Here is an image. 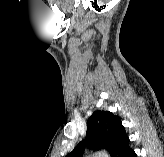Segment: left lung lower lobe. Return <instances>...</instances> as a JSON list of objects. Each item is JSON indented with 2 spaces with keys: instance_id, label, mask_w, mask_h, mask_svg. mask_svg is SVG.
<instances>
[{
  "instance_id": "1",
  "label": "left lung lower lobe",
  "mask_w": 164,
  "mask_h": 157,
  "mask_svg": "<svg viewBox=\"0 0 164 157\" xmlns=\"http://www.w3.org/2000/svg\"><path fill=\"white\" fill-rule=\"evenodd\" d=\"M111 157H137L136 153L129 146V138L116 147Z\"/></svg>"
}]
</instances>
